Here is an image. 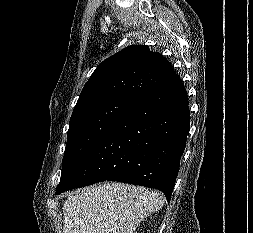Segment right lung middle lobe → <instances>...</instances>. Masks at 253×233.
I'll use <instances>...</instances> for the list:
<instances>
[{"mask_svg": "<svg viewBox=\"0 0 253 233\" xmlns=\"http://www.w3.org/2000/svg\"><path fill=\"white\" fill-rule=\"evenodd\" d=\"M134 101L111 97L74 109L69 123L61 180L113 129Z\"/></svg>", "mask_w": 253, "mask_h": 233, "instance_id": "dd1d6c3e", "label": "right lung middle lobe"}]
</instances>
